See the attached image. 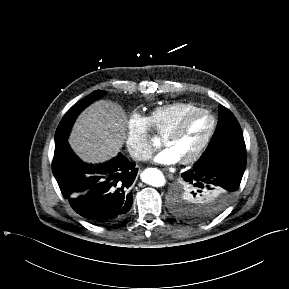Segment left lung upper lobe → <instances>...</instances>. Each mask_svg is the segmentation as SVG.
I'll list each match as a JSON object with an SVG mask.
<instances>
[{"label": "left lung upper lobe", "instance_id": "5c2ea615", "mask_svg": "<svg viewBox=\"0 0 289 289\" xmlns=\"http://www.w3.org/2000/svg\"><path fill=\"white\" fill-rule=\"evenodd\" d=\"M245 150L241 127L234 115L224 106H219V118L216 131L200 159L228 150ZM172 201L173 213L184 220L200 222L214 216L206 212V201L194 187L187 182L180 184Z\"/></svg>", "mask_w": 289, "mask_h": 289}]
</instances>
